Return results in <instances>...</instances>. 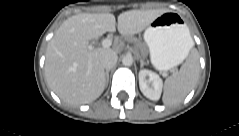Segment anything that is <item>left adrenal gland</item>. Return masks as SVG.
<instances>
[{"instance_id": "left-adrenal-gland-1", "label": "left adrenal gland", "mask_w": 239, "mask_h": 136, "mask_svg": "<svg viewBox=\"0 0 239 136\" xmlns=\"http://www.w3.org/2000/svg\"><path fill=\"white\" fill-rule=\"evenodd\" d=\"M144 64H145L144 61L141 59L140 60V66L143 67Z\"/></svg>"}]
</instances>
